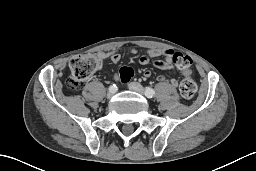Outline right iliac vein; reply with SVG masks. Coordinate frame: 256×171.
I'll return each mask as SVG.
<instances>
[{
	"label": "right iliac vein",
	"instance_id": "right-iliac-vein-1",
	"mask_svg": "<svg viewBox=\"0 0 256 171\" xmlns=\"http://www.w3.org/2000/svg\"><path fill=\"white\" fill-rule=\"evenodd\" d=\"M114 93H115L114 91L109 90L108 93H107V98L111 99L114 96Z\"/></svg>",
	"mask_w": 256,
	"mask_h": 171
}]
</instances>
